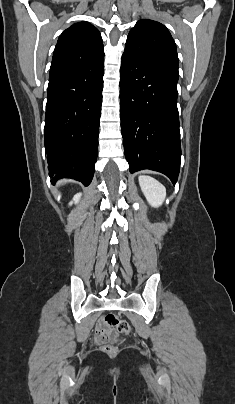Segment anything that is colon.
Returning <instances> with one entry per match:
<instances>
[{
    "instance_id": "5ec220e1",
    "label": "colon",
    "mask_w": 235,
    "mask_h": 404,
    "mask_svg": "<svg viewBox=\"0 0 235 404\" xmlns=\"http://www.w3.org/2000/svg\"><path fill=\"white\" fill-rule=\"evenodd\" d=\"M131 331L130 325L121 320L114 313H107L103 318V326L97 328L95 332V338L100 343H105L114 333H118L120 335H127ZM123 336H119L118 340L121 341ZM106 351L113 350V347L110 345L106 346Z\"/></svg>"
}]
</instances>
